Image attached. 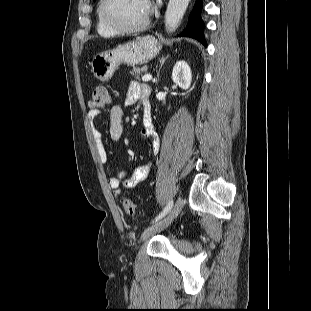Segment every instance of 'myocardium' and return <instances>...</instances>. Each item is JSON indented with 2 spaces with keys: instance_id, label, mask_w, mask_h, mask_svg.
<instances>
[{
  "instance_id": "obj_1",
  "label": "myocardium",
  "mask_w": 311,
  "mask_h": 311,
  "mask_svg": "<svg viewBox=\"0 0 311 311\" xmlns=\"http://www.w3.org/2000/svg\"><path fill=\"white\" fill-rule=\"evenodd\" d=\"M112 1L113 0H102L100 12H101V16L105 24L108 27H110L112 30H114L116 33H120V34L139 33L141 31H144L149 26L151 22V16H152L151 10H149V14L147 18L139 25L126 27L116 22L111 17L110 12H109Z\"/></svg>"
}]
</instances>
